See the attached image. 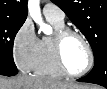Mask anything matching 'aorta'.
Wrapping results in <instances>:
<instances>
[{"label": "aorta", "mask_w": 107, "mask_h": 89, "mask_svg": "<svg viewBox=\"0 0 107 89\" xmlns=\"http://www.w3.org/2000/svg\"><path fill=\"white\" fill-rule=\"evenodd\" d=\"M28 12L35 23L39 25L42 32H44L45 34H50L52 32V28L42 20L39 0L28 1Z\"/></svg>", "instance_id": "1"}]
</instances>
